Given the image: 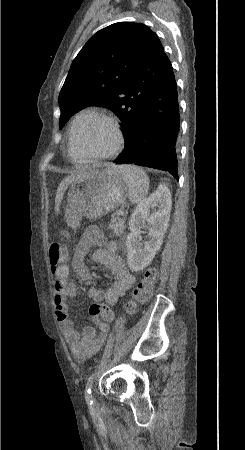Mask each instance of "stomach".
<instances>
[{
    "label": "stomach",
    "instance_id": "obj_1",
    "mask_svg": "<svg viewBox=\"0 0 245 450\" xmlns=\"http://www.w3.org/2000/svg\"><path fill=\"white\" fill-rule=\"evenodd\" d=\"M128 195V185L118 167L93 170L75 179L69 188L65 218L75 228L82 217L95 220L119 207Z\"/></svg>",
    "mask_w": 245,
    "mask_h": 450
}]
</instances>
